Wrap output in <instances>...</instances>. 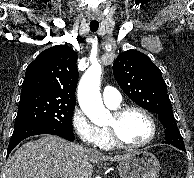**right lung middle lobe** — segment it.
<instances>
[{"instance_id": "1", "label": "right lung middle lobe", "mask_w": 194, "mask_h": 178, "mask_svg": "<svg viewBox=\"0 0 194 178\" xmlns=\"http://www.w3.org/2000/svg\"><path fill=\"white\" fill-rule=\"evenodd\" d=\"M75 101L57 97H35L19 101L15 127L45 125L62 131H73Z\"/></svg>"}]
</instances>
